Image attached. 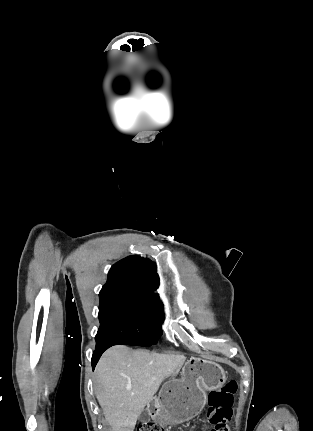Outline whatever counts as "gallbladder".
Returning <instances> with one entry per match:
<instances>
[{"label":"gallbladder","mask_w":313,"mask_h":431,"mask_svg":"<svg viewBox=\"0 0 313 431\" xmlns=\"http://www.w3.org/2000/svg\"><path fill=\"white\" fill-rule=\"evenodd\" d=\"M142 416L144 419H148V417H149L148 412L144 411Z\"/></svg>","instance_id":"1"}]
</instances>
